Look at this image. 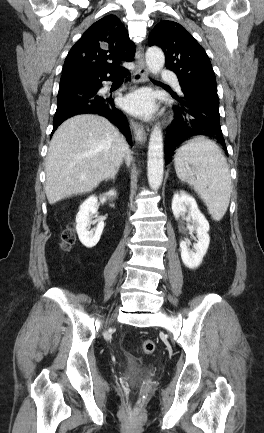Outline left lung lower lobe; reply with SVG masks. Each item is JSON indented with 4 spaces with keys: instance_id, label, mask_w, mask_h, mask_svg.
<instances>
[{
    "instance_id": "1",
    "label": "left lung lower lobe",
    "mask_w": 264,
    "mask_h": 433,
    "mask_svg": "<svg viewBox=\"0 0 264 433\" xmlns=\"http://www.w3.org/2000/svg\"><path fill=\"white\" fill-rule=\"evenodd\" d=\"M181 94L171 93L178 101L174 106L175 119L165 138V162L173 151L192 136H206L226 149L222 134L217 92L206 88H181Z\"/></svg>"
}]
</instances>
